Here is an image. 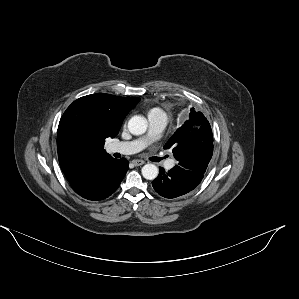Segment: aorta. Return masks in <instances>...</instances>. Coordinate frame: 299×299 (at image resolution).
Here are the masks:
<instances>
[{
	"instance_id": "762f6f07",
	"label": "aorta",
	"mask_w": 299,
	"mask_h": 299,
	"mask_svg": "<svg viewBox=\"0 0 299 299\" xmlns=\"http://www.w3.org/2000/svg\"><path fill=\"white\" fill-rule=\"evenodd\" d=\"M148 122L142 116H133L128 122V129L133 135H142L146 132ZM142 175L147 180H154L159 173V170L154 164H145L142 167Z\"/></svg>"
}]
</instances>
